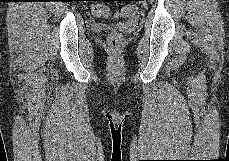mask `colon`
Returning <instances> with one entry per match:
<instances>
[{"instance_id":"5ec220e1","label":"colon","mask_w":229,"mask_h":161,"mask_svg":"<svg viewBox=\"0 0 229 161\" xmlns=\"http://www.w3.org/2000/svg\"><path fill=\"white\" fill-rule=\"evenodd\" d=\"M137 8L135 5H126L121 10L122 16H133L135 15ZM92 12L97 17H106L110 14V9L107 5L97 3L93 6ZM107 43L110 49L117 50L120 48L122 43V37L118 32H112L107 37Z\"/></svg>"}]
</instances>
